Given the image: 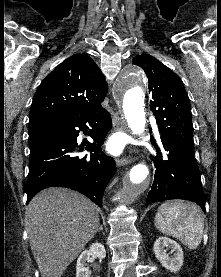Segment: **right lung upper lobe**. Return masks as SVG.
I'll use <instances>...</instances> for the list:
<instances>
[{
	"mask_svg": "<svg viewBox=\"0 0 221 277\" xmlns=\"http://www.w3.org/2000/svg\"><path fill=\"white\" fill-rule=\"evenodd\" d=\"M107 91L104 75L92 58L75 54L39 85L29 113V125L94 111L101 107Z\"/></svg>",
	"mask_w": 221,
	"mask_h": 277,
	"instance_id": "cb5924a9",
	"label": "right lung upper lobe"
}]
</instances>
